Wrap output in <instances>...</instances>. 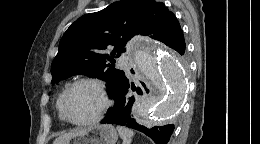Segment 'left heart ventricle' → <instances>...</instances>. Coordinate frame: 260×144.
<instances>
[{"label": "left heart ventricle", "mask_w": 260, "mask_h": 144, "mask_svg": "<svg viewBox=\"0 0 260 144\" xmlns=\"http://www.w3.org/2000/svg\"><path fill=\"white\" fill-rule=\"evenodd\" d=\"M101 106L97 90L88 84L74 89L66 103L68 116L74 121H84L94 117Z\"/></svg>", "instance_id": "1"}]
</instances>
